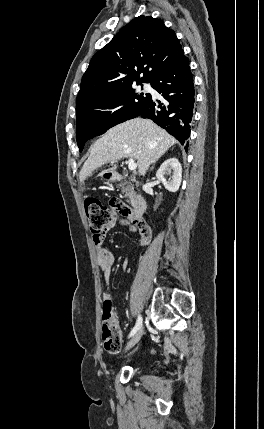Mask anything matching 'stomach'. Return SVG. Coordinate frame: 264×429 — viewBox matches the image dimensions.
<instances>
[{
	"label": "stomach",
	"instance_id": "obj_1",
	"mask_svg": "<svg viewBox=\"0 0 264 429\" xmlns=\"http://www.w3.org/2000/svg\"><path fill=\"white\" fill-rule=\"evenodd\" d=\"M103 176L109 181H113L115 179V173L113 172H105Z\"/></svg>",
	"mask_w": 264,
	"mask_h": 429
}]
</instances>
